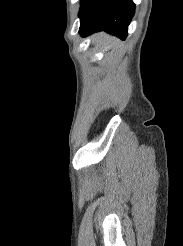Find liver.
I'll list each match as a JSON object with an SVG mask.
<instances>
[{
	"label": "liver",
	"instance_id": "liver-1",
	"mask_svg": "<svg viewBox=\"0 0 183 246\" xmlns=\"http://www.w3.org/2000/svg\"><path fill=\"white\" fill-rule=\"evenodd\" d=\"M92 39H93V42L98 43V44H102V45H108L114 40L113 38L109 37L105 33L95 34L92 37Z\"/></svg>",
	"mask_w": 183,
	"mask_h": 246
}]
</instances>
